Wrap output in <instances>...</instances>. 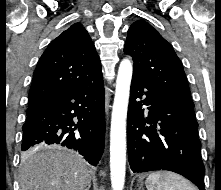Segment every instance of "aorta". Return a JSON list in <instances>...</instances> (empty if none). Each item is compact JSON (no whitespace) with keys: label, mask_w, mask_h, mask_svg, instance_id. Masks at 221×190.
<instances>
[{"label":"aorta","mask_w":221,"mask_h":190,"mask_svg":"<svg viewBox=\"0 0 221 190\" xmlns=\"http://www.w3.org/2000/svg\"><path fill=\"white\" fill-rule=\"evenodd\" d=\"M132 71L130 60H122L116 79L110 129V171L113 190H123L125 183L126 118Z\"/></svg>","instance_id":"obj_1"}]
</instances>
